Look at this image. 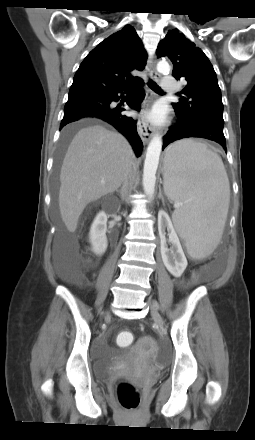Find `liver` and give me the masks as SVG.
Segmentation results:
<instances>
[{"instance_id": "6515ba94", "label": "liver", "mask_w": 255, "mask_h": 440, "mask_svg": "<svg viewBox=\"0 0 255 440\" xmlns=\"http://www.w3.org/2000/svg\"><path fill=\"white\" fill-rule=\"evenodd\" d=\"M133 159L130 144L117 132L100 125L77 132L60 172L59 209L70 232L76 230L78 219L89 203L120 187Z\"/></svg>"}]
</instances>
